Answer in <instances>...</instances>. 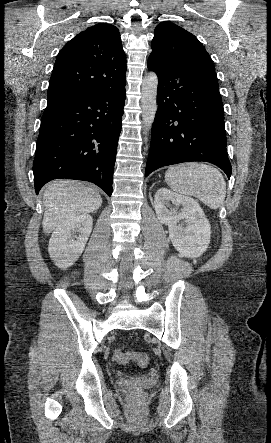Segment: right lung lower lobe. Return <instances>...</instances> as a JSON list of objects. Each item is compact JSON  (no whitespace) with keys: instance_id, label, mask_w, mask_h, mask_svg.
I'll return each instance as SVG.
<instances>
[{"instance_id":"obj_1","label":"right lung lower lobe","mask_w":271,"mask_h":443,"mask_svg":"<svg viewBox=\"0 0 271 443\" xmlns=\"http://www.w3.org/2000/svg\"><path fill=\"white\" fill-rule=\"evenodd\" d=\"M125 83L48 101L33 163L35 191L53 179L95 183L112 194Z\"/></svg>"}]
</instances>
